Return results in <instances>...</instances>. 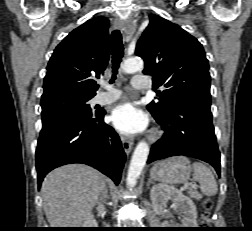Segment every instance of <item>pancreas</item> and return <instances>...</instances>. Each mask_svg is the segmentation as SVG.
<instances>
[{"mask_svg": "<svg viewBox=\"0 0 252 231\" xmlns=\"http://www.w3.org/2000/svg\"><path fill=\"white\" fill-rule=\"evenodd\" d=\"M189 195H190L192 198H195V199H200V198H201V195H200L197 191H195V190H191V191L189 192Z\"/></svg>", "mask_w": 252, "mask_h": 231, "instance_id": "pancreas-1", "label": "pancreas"}]
</instances>
